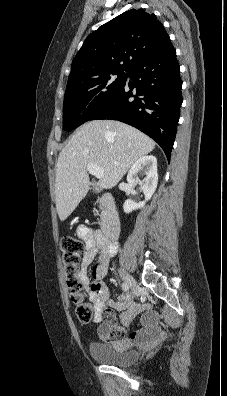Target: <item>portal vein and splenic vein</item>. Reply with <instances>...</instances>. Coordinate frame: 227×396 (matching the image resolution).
<instances>
[{"label":"portal vein and splenic vein","mask_w":227,"mask_h":396,"mask_svg":"<svg viewBox=\"0 0 227 396\" xmlns=\"http://www.w3.org/2000/svg\"><path fill=\"white\" fill-rule=\"evenodd\" d=\"M87 170L90 174L94 175L96 178L100 179L104 176V171L96 164H87Z\"/></svg>","instance_id":"1"}]
</instances>
